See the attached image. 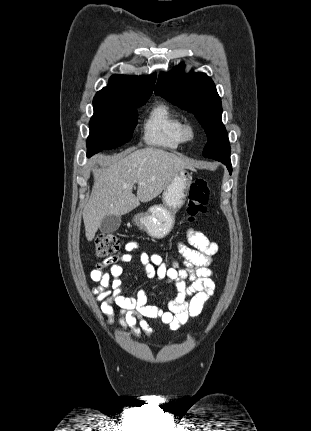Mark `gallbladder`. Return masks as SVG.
Listing matches in <instances>:
<instances>
[{"label":"gallbladder","mask_w":311,"mask_h":431,"mask_svg":"<svg viewBox=\"0 0 311 431\" xmlns=\"http://www.w3.org/2000/svg\"><path fill=\"white\" fill-rule=\"evenodd\" d=\"M121 221V216H105L99 225V229L102 233H114L121 225Z\"/></svg>","instance_id":"bac80fb5"}]
</instances>
